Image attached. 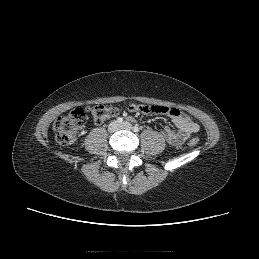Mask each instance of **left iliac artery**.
<instances>
[{"instance_id":"1","label":"left iliac artery","mask_w":259,"mask_h":259,"mask_svg":"<svg viewBox=\"0 0 259 259\" xmlns=\"http://www.w3.org/2000/svg\"><path fill=\"white\" fill-rule=\"evenodd\" d=\"M139 130H140V129H139V127H138L137 125H135V126L133 127V131H134V132H139Z\"/></svg>"}]
</instances>
